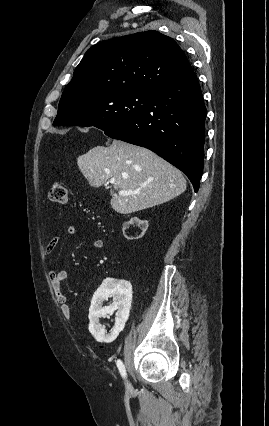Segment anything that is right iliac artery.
I'll return each instance as SVG.
<instances>
[{"label":"right iliac artery","instance_id":"right-iliac-artery-1","mask_svg":"<svg viewBox=\"0 0 269 426\" xmlns=\"http://www.w3.org/2000/svg\"><path fill=\"white\" fill-rule=\"evenodd\" d=\"M116 364H117V367L119 369V372H120L121 376L123 378H125L126 377V369H125V366H124L123 362L120 359H118L117 362H116Z\"/></svg>","mask_w":269,"mask_h":426}]
</instances>
